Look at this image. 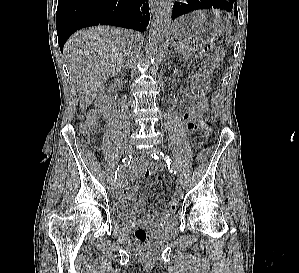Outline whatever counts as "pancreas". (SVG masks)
<instances>
[{"label": "pancreas", "instance_id": "cf45deb5", "mask_svg": "<svg viewBox=\"0 0 299 273\" xmlns=\"http://www.w3.org/2000/svg\"><path fill=\"white\" fill-rule=\"evenodd\" d=\"M178 53L185 59H189L193 55V47L188 43H178L176 45Z\"/></svg>", "mask_w": 299, "mask_h": 273}]
</instances>
